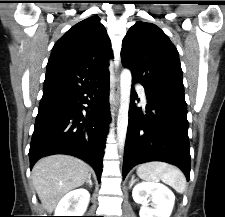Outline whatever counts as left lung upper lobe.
<instances>
[{
	"mask_svg": "<svg viewBox=\"0 0 225 217\" xmlns=\"http://www.w3.org/2000/svg\"><path fill=\"white\" fill-rule=\"evenodd\" d=\"M121 59L131 70L132 81L140 83L145 90L184 95L178 51L156 25L136 22L123 40Z\"/></svg>",
	"mask_w": 225,
	"mask_h": 217,
	"instance_id": "left-lung-upper-lobe-1",
	"label": "left lung upper lobe"
}]
</instances>
